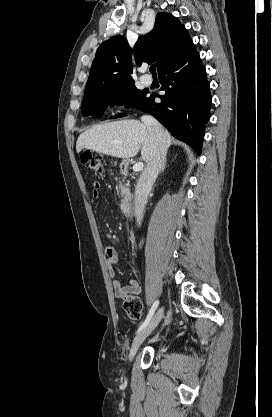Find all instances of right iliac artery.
<instances>
[{
  "label": "right iliac artery",
  "instance_id": "1",
  "mask_svg": "<svg viewBox=\"0 0 272 417\" xmlns=\"http://www.w3.org/2000/svg\"><path fill=\"white\" fill-rule=\"evenodd\" d=\"M158 304H159V301L158 300H156L154 303H153V305H152V307H151V309H150V311H149V313H148V315H147V317H146V319L144 320V322L141 324V326L139 327V329H138V331H137V333H139L140 331H142L148 324H149V322H150V320L152 319V317H153V314H154V312H155V310L157 309V307H158Z\"/></svg>",
  "mask_w": 272,
  "mask_h": 417
}]
</instances>
